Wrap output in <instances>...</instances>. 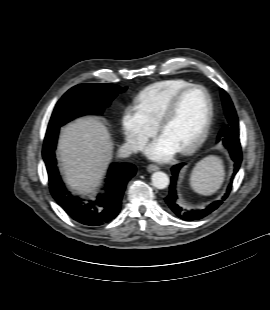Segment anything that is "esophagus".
<instances>
[{
	"mask_svg": "<svg viewBox=\"0 0 270 310\" xmlns=\"http://www.w3.org/2000/svg\"><path fill=\"white\" fill-rule=\"evenodd\" d=\"M159 169H160V167L155 165V164H150V165L147 166V170L149 172H154V171H157Z\"/></svg>",
	"mask_w": 270,
	"mask_h": 310,
	"instance_id": "1",
	"label": "esophagus"
}]
</instances>
